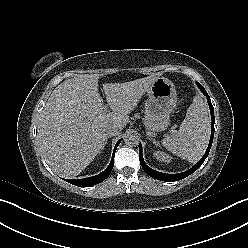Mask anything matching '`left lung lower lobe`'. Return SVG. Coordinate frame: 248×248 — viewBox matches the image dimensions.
Returning <instances> with one entry per match:
<instances>
[{"mask_svg": "<svg viewBox=\"0 0 248 248\" xmlns=\"http://www.w3.org/2000/svg\"><path fill=\"white\" fill-rule=\"evenodd\" d=\"M198 87L200 88V90L203 92V94L207 97V101H208V105L210 108V113L212 116V128H211V137H210V142L208 145V148L204 154V156L201 158V160H199V162H197L192 168H190L189 170L183 172V173H179V174H165V173H160L157 172L153 169H151L150 167H148L143 160V156H142V146L141 143L139 145V159H140V164L143 168V170L152 178L161 180V181H166V182H173V181H178L181 179H184L185 177L189 176L190 174H192L193 172H195L205 161V159L207 158L209 151L211 149L212 146V142H213V137H214V122H215V118H214V108L213 105L211 103L210 97L207 94L206 90L204 89V87L197 83Z\"/></svg>", "mask_w": 248, "mask_h": 248, "instance_id": "obj_1", "label": "left lung lower lobe"}]
</instances>
